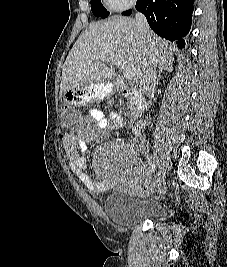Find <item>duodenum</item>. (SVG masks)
Instances as JSON below:
<instances>
[{
	"label": "duodenum",
	"instance_id": "410a0bca",
	"mask_svg": "<svg viewBox=\"0 0 227 267\" xmlns=\"http://www.w3.org/2000/svg\"><path fill=\"white\" fill-rule=\"evenodd\" d=\"M113 82L120 93L130 98L132 115L134 117L140 116L146 106L143 95L139 91L127 86L118 74L113 77Z\"/></svg>",
	"mask_w": 227,
	"mask_h": 267
}]
</instances>
